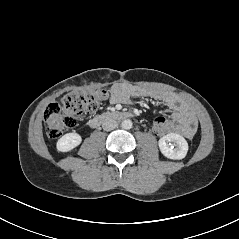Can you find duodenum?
I'll return each instance as SVG.
<instances>
[{"instance_id":"obj_1","label":"duodenum","mask_w":239,"mask_h":239,"mask_svg":"<svg viewBox=\"0 0 239 239\" xmlns=\"http://www.w3.org/2000/svg\"><path fill=\"white\" fill-rule=\"evenodd\" d=\"M131 117H132V114L128 113V112L109 111V112H104V113H101V114L95 116L93 119H91L89 124L92 128H97L98 126H100L105 121H108V120H111V119L124 120V119H128V118H131Z\"/></svg>"}]
</instances>
